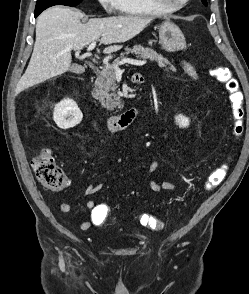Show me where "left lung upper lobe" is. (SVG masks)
<instances>
[{
  "instance_id": "5c2ea615",
  "label": "left lung upper lobe",
  "mask_w": 249,
  "mask_h": 294,
  "mask_svg": "<svg viewBox=\"0 0 249 294\" xmlns=\"http://www.w3.org/2000/svg\"><path fill=\"white\" fill-rule=\"evenodd\" d=\"M202 3H203L204 5H207V1H206V0H202Z\"/></svg>"
}]
</instances>
